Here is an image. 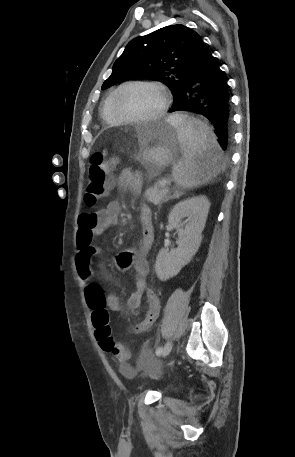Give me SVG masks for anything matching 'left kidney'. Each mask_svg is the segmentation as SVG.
<instances>
[{"mask_svg":"<svg viewBox=\"0 0 295 457\" xmlns=\"http://www.w3.org/2000/svg\"><path fill=\"white\" fill-rule=\"evenodd\" d=\"M210 203L204 196L188 198L177 203L168 218L169 226L178 233V247L161 249L155 263L157 277L166 281L177 275L198 251L202 241ZM184 218H187L183 221Z\"/></svg>","mask_w":295,"mask_h":457,"instance_id":"obj_1","label":"left kidney"}]
</instances>
